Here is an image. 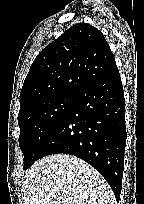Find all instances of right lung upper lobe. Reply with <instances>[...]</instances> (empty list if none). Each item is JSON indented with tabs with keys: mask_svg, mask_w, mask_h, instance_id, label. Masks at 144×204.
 <instances>
[{
	"mask_svg": "<svg viewBox=\"0 0 144 204\" xmlns=\"http://www.w3.org/2000/svg\"><path fill=\"white\" fill-rule=\"evenodd\" d=\"M117 68L101 31L78 23L33 61L20 93V111L59 94H78Z\"/></svg>",
	"mask_w": 144,
	"mask_h": 204,
	"instance_id": "cb5924a9",
	"label": "right lung upper lobe"
}]
</instances>
